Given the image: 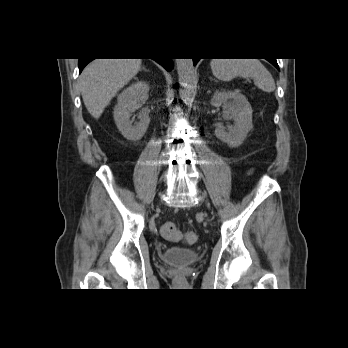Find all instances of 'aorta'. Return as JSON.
I'll return each mask as SVG.
<instances>
[{"instance_id": "1", "label": "aorta", "mask_w": 348, "mask_h": 348, "mask_svg": "<svg viewBox=\"0 0 348 348\" xmlns=\"http://www.w3.org/2000/svg\"><path fill=\"white\" fill-rule=\"evenodd\" d=\"M176 68L179 76V94L183 101H188L192 97L193 88L196 80V73L192 59H176Z\"/></svg>"}]
</instances>
